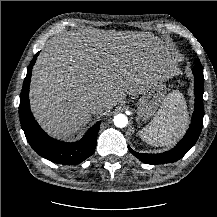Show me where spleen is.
I'll return each mask as SVG.
<instances>
[{"label":"spleen","mask_w":217,"mask_h":217,"mask_svg":"<svg viewBox=\"0 0 217 217\" xmlns=\"http://www.w3.org/2000/svg\"><path fill=\"white\" fill-rule=\"evenodd\" d=\"M187 121L183 97L178 92H173L166 97L161 109L139 135L149 145L170 146L183 132Z\"/></svg>","instance_id":"obj_1"}]
</instances>
